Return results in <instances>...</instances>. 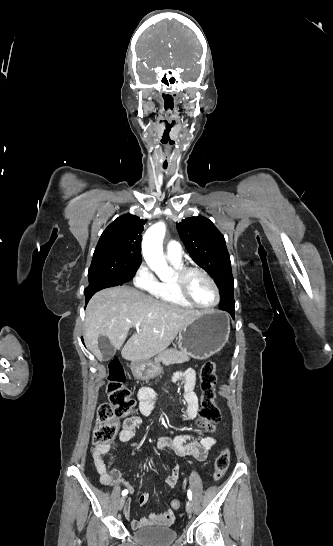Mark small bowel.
<instances>
[{"label":"small bowel","instance_id":"1","mask_svg":"<svg viewBox=\"0 0 333 546\" xmlns=\"http://www.w3.org/2000/svg\"><path fill=\"white\" fill-rule=\"evenodd\" d=\"M175 382L181 381L183 383V398L186 402V408L181 414V419L184 421L192 420L196 417L199 409L198 397L194 391L196 384V374L193 369L188 368L185 371L176 372L173 376ZM157 398V392L151 387H142L137 393V399L139 402V412L143 416H150L155 411V401ZM142 419L140 415H134L126 419L123 423L122 430L119 434V440L121 442H127L132 439L138 431ZM219 425H215L211 433L217 432ZM216 444V438L213 435L204 437L197 436L192 433H182L174 438L162 437L158 439L156 446L161 452H165L168 448L175 451V453L184 458H194L197 461H204L207 457L208 451ZM112 451V446L97 445L92 451L93 462L96 470L99 474V480L103 485L124 484L129 487L121 477L120 471L113 465L110 468L107 467L104 457ZM180 476V469L178 465L172 464L171 473L165 479V483L169 488H174L178 482ZM149 500V495L143 493L138 498L140 505H145ZM124 514L128 520L130 526L133 529H139L146 526H168L174 520V513L172 510H167L163 513L149 514L140 519H135L130 514V502H127L124 508Z\"/></svg>","mask_w":333,"mask_h":546}]
</instances>
